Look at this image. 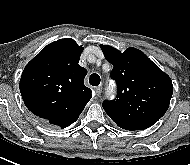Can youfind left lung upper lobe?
I'll list each match as a JSON object with an SVG mask.
<instances>
[{
	"label": "left lung upper lobe",
	"instance_id": "5c2ea615",
	"mask_svg": "<svg viewBox=\"0 0 190 165\" xmlns=\"http://www.w3.org/2000/svg\"><path fill=\"white\" fill-rule=\"evenodd\" d=\"M100 47L113 65L110 76L118 88L116 99L103 102L104 110L123 129L151 127L169 107L173 93L170 77L136 48L121 53L111 46Z\"/></svg>",
	"mask_w": 190,
	"mask_h": 165
}]
</instances>
